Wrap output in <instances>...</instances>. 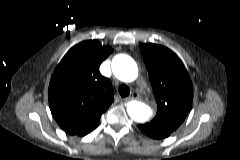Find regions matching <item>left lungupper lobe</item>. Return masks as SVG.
I'll return each instance as SVG.
<instances>
[{
  "mask_svg": "<svg viewBox=\"0 0 240 160\" xmlns=\"http://www.w3.org/2000/svg\"><path fill=\"white\" fill-rule=\"evenodd\" d=\"M157 103V113L150 124L173 133L183 123L193 101V86L179 57L157 44H140Z\"/></svg>",
  "mask_w": 240,
  "mask_h": 160,
  "instance_id": "obj_1",
  "label": "left lung upper lobe"
}]
</instances>
